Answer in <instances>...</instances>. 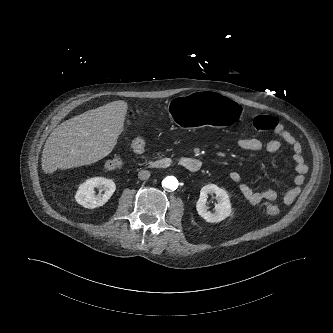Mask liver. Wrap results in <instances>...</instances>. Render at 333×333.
Returning a JSON list of instances; mask_svg holds the SVG:
<instances>
[{
  "label": "liver",
  "mask_w": 333,
  "mask_h": 333,
  "mask_svg": "<svg viewBox=\"0 0 333 333\" xmlns=\"http://www.w3.org/2000/svg\"><path fill=\"white\" fill-rule=\"evenodd\" d=\"M127 108L125 101L117 100L58 125L44 145L42 170L51 174L57 169L90 165L108 156L123 131Z\"/></svg>",
  "instance_id": "1"
}]
</instances>
